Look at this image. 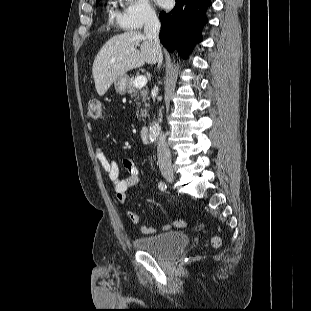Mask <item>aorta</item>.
<instances>
[{
    "label": "aorta",
    "instance_id": "aorta-1",
    "mask_svg": "<svg viewBox=\"0 0 311 311\" xmlns=\"http://www.w3.org/2000/svg\"><path fill=\"white\" fill-rule=\"evenodd\" d=\"M159 132V123L156 121L152 122L149 128V139L151 142H156Z\"/></svg>",
    "mask_w": 311,
    "mask_h": 311
}]
</instances>
